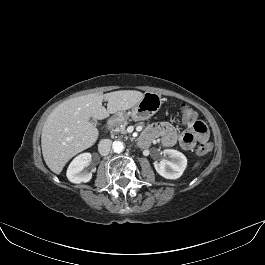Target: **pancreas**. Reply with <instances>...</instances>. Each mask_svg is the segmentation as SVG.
Returning <instances> with one entry per match:
<instances>
[{"label":"pancreas","instance_id":"cf45deb5","mask_svg":"<svg viewBox=\"0 0 265 265\" xmlns=\"http://www.w3.org/2000/svg\"><path fill=\"white\" fill-rule=\"evenodd\" d=\"M128 124L127 120H123L121 122H117L111 129V133L113 134H126V126Z\"/></svg>","mask_w":265,"mask_h":265}]
</instances>
